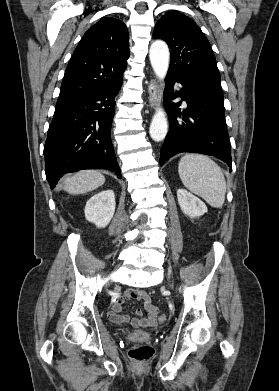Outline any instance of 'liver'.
<instances>
[{
    "label": "liver",
    "mask_w": 279,
    "mask_h": 391,
    "mask_svg": "<svg viewBox=\"0 0 279 391\" xmlns=\"http://www.w3.org/2000/svg\"><path fill=\"white\" fill-rule=\"evenodd\" d=\"M105 183V177L96 170H83L77 172L63 181V190L69 194H84L95 190Z\"/></svg>",
    "instance_id": "6515ba94"
}]
</instances>
